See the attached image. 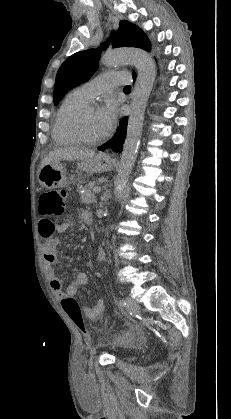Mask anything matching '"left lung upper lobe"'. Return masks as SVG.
<instances>
[{
	"mask_svg": "<svg viewBox=\"0 0 231 419\" xmlns=\"http://www.w3.org/2000/svg\"><path fill=\"white\" fill-rule=\"evenodd\" d=\"M113 47H137L150 51V42L144 32L136 25L122 20L118 31L114 34ZM109 41V40H108ZM106 41L98 50L88 49L80 51L64 61L60 66L55 86L54 104L57 105L65 93L71 88L87 81L96 71L101 50L104 49Z\"/></svg>",
	"mask_w": 231,
	"mask_h": 419,
	"instance_id": "5c2ea615",
	"label": "left lung upper lobe"
}]
</instances>
